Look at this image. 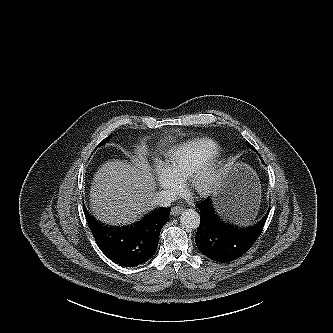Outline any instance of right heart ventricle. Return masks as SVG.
I'll return each mask as SVG.
<instances>
[{
    "mask_svg": "<svg viewBox=\"0 0 333 333\" xmlns=\"http://www.w3.org/2000/svg\"><path fill=\"white\" fill-rule=\"evenodd\" d=\"M220 150V146L212 139H191L165 153L166 166L179 179H184L197 167L214 159Z\"/></svg>",
    "mask_w": 333,
    "mask_h": 333,
    "instance_id": "right-heart-ventricle-1",
    "label": "right heart ventricle"
}]
</instances>
